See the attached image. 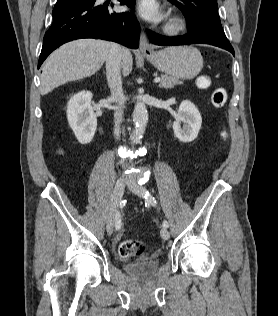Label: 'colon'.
Here are the masks:
<instances>
[{"label": "colon", "instance_id": "1", "mask_svg": "<svg viewBox=\"0 0 278 316\" xmlns=\"http://www.w3.org/2000/svg\"><path fill=\"white\" fill-rule=\"evenodd\" d=\"M199 84L205 86L209 84L208 77H201ZM227 101V90L224 87H216L211 94V102L215 108H222ZM144 243L140 240H126L119 246V254L124 258L140 255L144 252Z\"/></svg>", "mask_w": 278, "mask_h": 316}]
</instances>
